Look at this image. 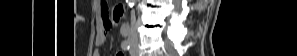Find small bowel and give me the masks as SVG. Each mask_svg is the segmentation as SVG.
<instances>
[{
	"label": "small bowel",
	"mask_w": 297,
	"mask_h": 56,
	"mask_svg": "<svg viewBox=\"0 0 297 56\" xmlns=\"http://www.w3.org/2000/svg\"><path fill=\"white\" fill-rule=\"evenodd\" d=\"M98 10L101 18V23L96 39V45L98 48H100L105 43L108 32L115 28L118 25L120 19L123 17L124 8L122 5H118L113 9L112 13H110L106 2L99 1ZM95 55L99 56L100 54L97 51ZM117 56H124V54L118 53Z\"/></svg>",
	"instance_id": "small-bowel-1"
}]
</instances>
